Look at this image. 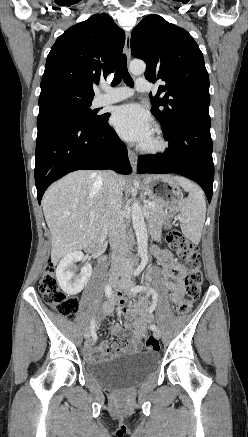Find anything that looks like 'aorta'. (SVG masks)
<instances>
[{
	"instance_id": "obj_1",
	"label": "aorta",
	"mask_w": 248,
	"mask_h": 437,
	"mask_svg": "<svg viewBox=\"0 0 248 437\" xmlns=\"http://www.w3.org/2000/svg\"><path fill=\"white\" fill-rule=\"evenodd\" d=\"M129 70L134 75H140L145 72L146 65L141 60H133L129 65ZM132 223L137 238L138 255L142 259L148 258V235L141 206L137 200H134L131 207Z\"/></svg>"
}]
</instances>
